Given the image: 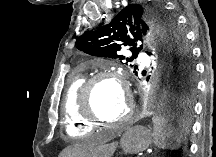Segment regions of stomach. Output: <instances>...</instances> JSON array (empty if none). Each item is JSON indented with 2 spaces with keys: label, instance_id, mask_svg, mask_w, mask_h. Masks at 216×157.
I'll return each instance as SVG.
<instances>
[{
  "label": "stomach",
  "instance_id": "obj_1",
  "mask_svg": "<svg viewBox=\"0 0 216 157\" xmlns=\"http://www.w3.org/2000/svg\"><path fill=\"white\" fill-rule=\"evenodd\" d=\"M152 142L150 130L142 126H134L125 131L122 146L126 152L137 154L148 149Z\"/></svg>",
  "mask_w": 216,
  "mask_h": 157
}]
</instances>
